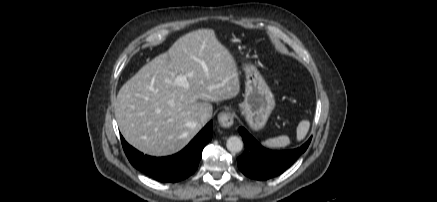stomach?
Returning a JSON list of instances; mask_svg holds the SVG:
<instances>
[{
    "instance_id": "1",
    "label": "stomach",
    "mask_w": 437,
    "mask_h": 202,
    "mask_svg": "<svg viewBox=\"0 0 437 202\" xmlns=\"http://www.w3.org/2000/svg\"><path fill=\"white\" fill-rule=\"evenodd\" d=\"M246 83L241 112L253 130L262 129L275 107V100L265 80L253 65H245Z\"/></svg>"
}]
</instances>
